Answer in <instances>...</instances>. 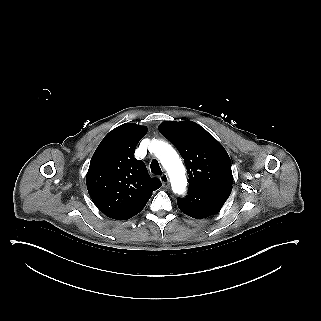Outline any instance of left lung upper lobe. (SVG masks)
Listing matches in <instances>:
<instances>
[{
  "mask_svg": "<svg viewBox=\"0 0 321 321\" xmlns=\"http://www.w3.org/2000/svg\"><path fill=\"white\" fill-rule=\"evenodd\" d=\"M159 131L184 158L189 189L232 187L231 160L224 147L204 128L192 121H165Z\"/></svg>",
  "mask_w": 321,
  "mask_h": 321,
  "instance_id": "obj_1",
  "label": "left lung upper lobe"
}]
</instances>
